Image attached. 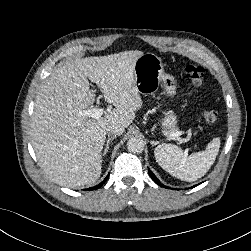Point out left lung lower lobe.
Here are the masks:
<instances>
[{"label":"left lung lower lobe","mask_w":251,"mask_h":251,"mask_svg":"<svg viewBox=\"0 0 251 251\" xmlns=\"http://www.w3.org/2000/svg\"><path fill=\"white\" fill-rule=\"evenodd\" d=\"M148 172H149L150 177L152 178V180H153L156 184H158V185H160V186H163V185L161 184V182L158 180V178L152 173V171H151L150 169H148Z\"/></svg>","instance_id":"0a47b994"}]
</instances>
